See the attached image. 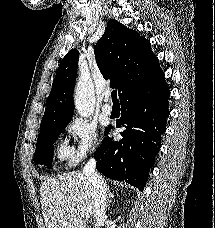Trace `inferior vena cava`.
Returning a JSON list of instances; mask_svg holds the SVG:
<instances>
[{
  "mask_svg": "<svg viewBox=\"0 0 215 228\" xmlns=\"http://www.w3.org/2000/svg\"><path fill=\"white\" fill-rule=\"evenodd\" d=\"M83 176L87 180L88 186L92 192L94 214V226H98L101 220L105 218V210L107 206L108 186L102 176L96 172V160L90 158L83 168Z\"/></svg>",
  "mask_w": 215,
  "mask_h": 228,
  "instance_id": "inferior-vena-cava-1",
  "label": "inferior vena cava"
}]
</instances>
